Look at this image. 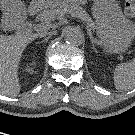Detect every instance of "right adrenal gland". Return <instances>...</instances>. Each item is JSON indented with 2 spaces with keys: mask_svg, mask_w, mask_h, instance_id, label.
I'll list each match as a JSON object with an SVG mask.
<instances>
[{
  "mask_svg": "<svg viewBox=\"0 0 135 135\" xmlns=\"http://www.w3.org/2000/svg\"><path fill=\"white\" fill-rule=\"evenodd\" d=\"M49 36L48 37H46L44 40H42L40 43H43V42H47L48 40H49Z\"/></svg>",
  "mask_w": 135,
  "mask_h": 135,
  "instance_id": "1",
  "label": "right adrenal gland"
}]
</instances>
